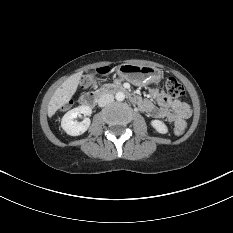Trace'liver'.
<instances>
[{
	"label": "liver",
	"mask_w": 233,
	"mask_h": 233,
	"mask_svg": "<svg viewBox=\"0 0 233 233\" xmlns=\"http://www.w3.org/2000/svg\"><path fill=\"white\" fill-rule=\"evenodd\" d=\"M81 76V72L71 75L56 89L48 104L47 112L49 117H52L58 109L72 98L78 88Z\"/></svg>",
	"instance_id": "obj_1"
}]
</instances>
